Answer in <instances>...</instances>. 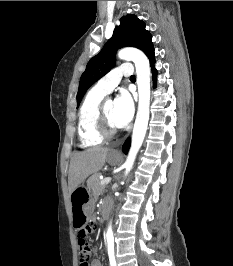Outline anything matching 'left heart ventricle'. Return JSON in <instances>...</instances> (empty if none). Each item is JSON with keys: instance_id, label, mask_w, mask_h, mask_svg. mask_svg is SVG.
Instances as JSON below:
<instances>
[{"instance_id": "obj_1", "label": "left heart ventricle", "mask_w": 233, "mask_h": 266, "mask_svg": "<svg viewBox=\"0 0 233 266\" xmlns=\"http://www.w3.org/2000/svg\"><path fill=\"white\" fill-rule=\"evenodd\" d=\"M105 112H106V117L107 120L109 122V124L113 127H116L115 123H114V101L110 100L106 103L105 105Z\"/></svg>"}]
</instances>
